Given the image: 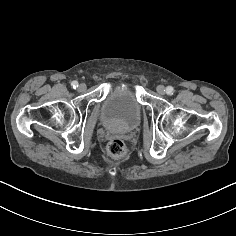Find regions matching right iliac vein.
Masks as SVG:
<instances>
[{
    "label": "right iliac vein",
    "mask_w": 236,
    "mask_h": 236,
    "mask_svg": "<svg viewBox=\"0 0 236 236\" xmlns=\"http://www.w3.org/2000/svg\"><path fill=\"white\" fill-rule=\"evenodd\" d=\"M85 90H86V85L85 84L82 83L78 86V91L83 92Z\"/></svg>",
    "instance_id": "1"
}]
</instances>
